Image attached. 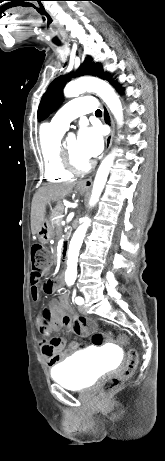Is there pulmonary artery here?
<instances>
[{"mask_svg": "<svg viewBox=\"0 0 165 461\" xmlns=\"http://www.w3.org/2000/svg\"><path fill=\"white\" fill-rule=\"evenodd\" d=\"M97 103L92 97H80L65 104L51 119L54 127L62 130L68 128L69 123L80 115L95 111Z\"/></svg>", "mask_w": 165, "mask_h": 461, "instance_id": "1", "label": "pulmonary artery"}]
</instances>
